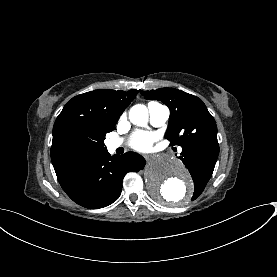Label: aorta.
Instances as JSON below:
<instances>
[{"instance_id":"aorta-1","label":"aorta","mask_w":277,"mask_h":277,"mask_svg":"<svg viewBox=\"0 0 277 277\" xmlns=\"http://www.w3.org/2000/svg\"><path fill=\"white\" fill-rule=\"evenodd\" d=\"M129 119L134 125L145 126L148 122L146 106H133ZM144 174L151 196L159 203L184 205L192 196V180L177 158L167 154L155 155L148 161Z\"/></svg>"}]
</instances>
